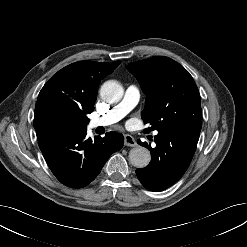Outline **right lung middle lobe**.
<instances>
[{"label":"right lung middle lobe","instance_id":"1","mask_svg":"<svg viewBox=\"0 0 247 247\" xmlns=\"http://www.w3.org/2000/svg\"><path fill=\"white\" fill-rule=\"evenodd\" d=\"M89 120H82L65 113H55L48 116L44 122V131L57 130L72 132L86 129Z\"/></svg>","mask_w":247,"mask_h":247}]
</instances>
